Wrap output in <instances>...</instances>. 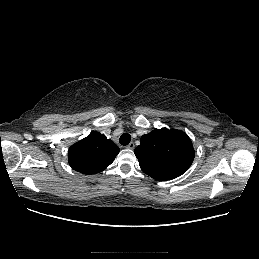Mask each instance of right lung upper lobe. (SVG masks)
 Masks as SVG:
<instances>
[{"label": "right lung upper lobe", "instance_id": "cb5924a9", "mask_svg": "<svg viewBox=\"0 0 259 259\" xmlns=\"http://www.w3.org/2000/svg\"><path fill=\"white\" fill-rule=\"evenodd\" d=\"M119 153V147L99 132L73 144L68 152L70 166L83 174H96L105 170Z\"/></svg>", "mask_w": 259, "mask_h": 259}]
</instances>
